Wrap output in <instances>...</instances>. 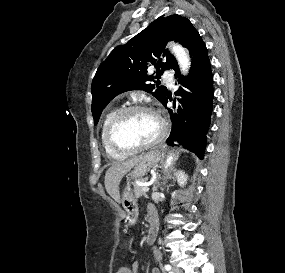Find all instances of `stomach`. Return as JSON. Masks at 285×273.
Returning <instances> with one entry per match:
<instances>
[{
  "mask_svg": "<svg viewBox=\"0 0 285 273\" xmlns=\"http://www.w3.org/2000/svg\"><path fill=\"white\" fill-rule=\"evenodd\" d=\"M161 159V151L151 150L147 152L142 159L135 165L130 173L132 179H141L148 170L157 164ZM122 205L127 212L126 222L130 223L137 216V204L131 190L130 181L127 182L124 190L122 191Z\"/></svg>",
  "mask_w": 285,
  "mask_h": 273,
  "instance_id": "stomach-1",
  "label": "stomach"
}]
</instances>
